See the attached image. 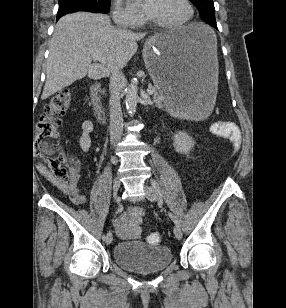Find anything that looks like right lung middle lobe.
Here are the masks:
<instances>
[{"label":"right lung middle lobe","mask_w":286,"mask_h":308,"mask_svg":"<svg viewBox=\"0 0 286 308\" xmlns=\"http://www.w3.org/2000/svg\"><path fill=\"white\" fill-rule=\"evenodd\" d=\"M82 9H96L107 13L110 10V0H59V11Z\"/></svg>","instance_id":"dd1d6c3e"}]
</instances>
